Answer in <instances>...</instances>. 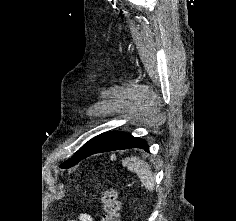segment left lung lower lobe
I'll use <instances>...</instances> for the list:
<instances>
[{"mask_svg":"<svg viewBox=\"0 0 236 221\" xmlns=\"http://www.w3.org/2000/svg\"><path fill=\"white\" fill-rule=\"evenodd\" d=\"M141 148L149 150L145 140L135 138L127 133L108 132L91 139L79 152L77 163L86 157L99 153L119 149Z\"/></svg>","mask_w":236,"mask_h":221,"instance_id":"obj_1","label":"left lung lower lobe"}]
</instances>
